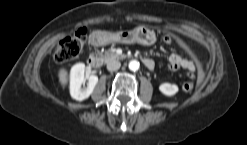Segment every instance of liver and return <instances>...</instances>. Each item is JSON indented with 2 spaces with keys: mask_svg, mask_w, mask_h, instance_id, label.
<instances>
[{
  "mask_svg": "<svg viewBox=\"0 0 247 145\" xmlns=\"http://www.w3.org/2000/svg\"><path fill=\"white\" fill-rule=\"evenodd\" d=\"M58 78H59V82L61 84V86H66L67 82H68V73L67 70L65 68H60L58 71Z\"/></svg>",
  "mask_w": 247,
  "mask_h": 145,
  "instance_id": "liver-1",
  "label": "liver"
}]
</instances>
